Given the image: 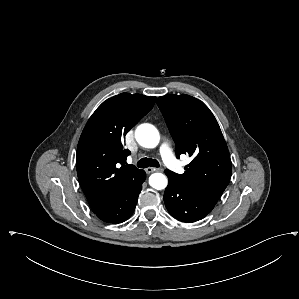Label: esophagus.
<instances>
[{"label":"esophagus","instance_id":"obj_1","mask_svg":"<svg viewBox=\"0 0 299 299\" xmlns=\"http://www.w3.org/2000/svg\"><path fill=\"white\" fill-rule=\"evenodd\" d=\"M146 173L147 174H150V173H153V172H160L162 171L161 168H152V167H148L145 169Z\"/></svg>","mask_w":299,"mask_h":299}]
</instances>
